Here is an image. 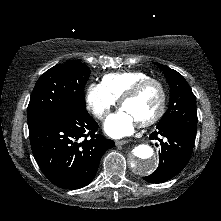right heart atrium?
<instances>
[{
    "label": "right heart atrium",
    "instance_id": "1",
    "mask_svg": "<svg viewBox=\"0 0 221 221\" xmlns=\"http://www.w3.org/2000/svg\"><path fill=\"white\" fill-rule=\"evenodd\" d=\"M117 99L101 83H92L86 92L89 111L99 120H104L116 105Z\"/></svg>",
    "mask_w": 221,
    "mask_h": 221
}]
</instances>
